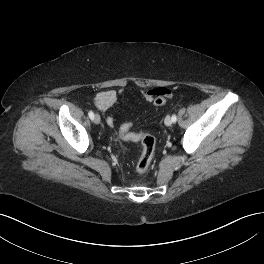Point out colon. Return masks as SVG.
Returning <instances> with one entry per match:
<instances>
[{"label":"colon","mask_w":264,"mask_h":264,"mask_svg":"<svg viewBox=\"0 0 264 264\" xmlns=\"http://www.w3.org/2000/svg\"><path fill=\"white\" fill-rule=\"evenodd\" d=\"M165 102L166 99L160 97L155 99L153 103L156 106H160L165 104ZM131 128V123L123 124L120 128V136L126 141L138 142L142 145V151L136 163L135 171L138 174H143L148 170L154 157L156 141L152 135L146 133H135L131 131Z\"/></svg>","instance_id":"5ec220e1"}]
</instances>
